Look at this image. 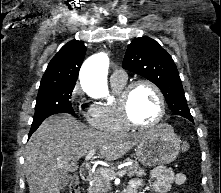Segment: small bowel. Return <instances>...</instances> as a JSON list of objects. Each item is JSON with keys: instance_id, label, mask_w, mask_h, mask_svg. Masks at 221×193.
I'll return each instance as SVG.
<instances>
[{"instance_id": "1", "label": "small bowel", "mask_w": 221, "mask_h": 193, "mask_svg": "<svg viewBox=\"0 0 221 193\" xmlns=\"http://www.w3.org/2000/svg\"><path fill=\"white\" fill-rule=\"evenodd\" d=\"M151 191L152 193H168L173 186L184 185L187 182V177L184 173H175L171 168L166 166H157L151 172ZM144 186V180L138 176L132 179L129 189L133 193Z\"/></svg>"}]
</instances>
